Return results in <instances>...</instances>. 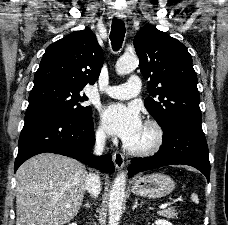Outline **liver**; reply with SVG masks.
Masks as SVG:
<instances>
[{"label": "liver", "instance_id": "6515ba94", "mask_svg": "<svg viewBox=\"0 0 228 225\" xmlns=\"http://www.w3.org/2000/svg\"><path fill=\"white\" fill-rule=\"evenodd\" d=\"M86 177L79 161L62 155L43 153L23 163L15 175L16 225L70 223L82 205Z\"/></svg>", "mask_w": 228, "mask_h": 225}]
</instances>
